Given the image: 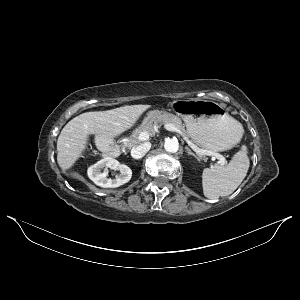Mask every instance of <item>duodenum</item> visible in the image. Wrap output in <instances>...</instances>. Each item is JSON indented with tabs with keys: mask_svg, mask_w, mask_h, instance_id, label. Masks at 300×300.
<instances>
[{
	"mask_svg": "<svg viewBox=\"0 0 300 300\" xmlns=\"http://www.w3.org/2000/svg\"><path fill=\"white\" fill-rule=\"evenodd\" d=\"M105 155L110 158H119L121 155V149L108 146L105 148Z\"/></svg>",
	"mask_w": 300,
	"mask_h": 300,
	"instance_id": "410a0bca",
	"label": "duodenum"
}]
</instances>
